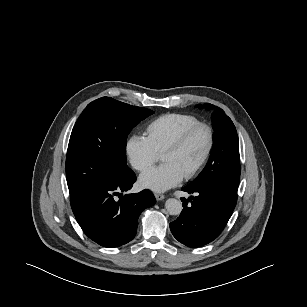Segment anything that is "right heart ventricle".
<instances>
[{"mask_svg": "<svg viewBox=\"0 0 307 307\" xmlns=\"http://www.w3.org/2000/svg\"><path fill=\"white\" fill-rule=\"evenodd\" d=\"M199 122L197 117L189 114H165L148 124L147 138L154 149L162 154L186 128Z\"/></svg>", "mask_w": 307, "mask_h": 307, "instance_id": "right-heart-ventricle-1", "label": "right heart ventricle"}]
</instances>
